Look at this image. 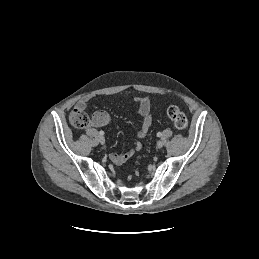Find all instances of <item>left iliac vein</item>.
<instances>
[{"label": "left iliac vein", "instance_id": "left-iliac-vein-1", "mask_svg": "<svg viewBox=\"0 0 259 259\" xmlns=\"http://www.w3.org/2000/svg\"><path fill=\"white\" fill-rule=\"evenodd\" d=\"M157 147H158L159 149L162 148V147H163V141L159 140V141L157 142Z\"/></svg>", "mask_w": 259, "mask_h": 259}]
</instances>
